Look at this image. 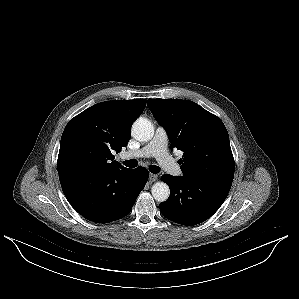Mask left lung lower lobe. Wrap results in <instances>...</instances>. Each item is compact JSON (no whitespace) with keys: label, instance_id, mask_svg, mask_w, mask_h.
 Returning <instances> with one entry per match:
<instances>
[{"label":"left lung lower lobe","instance_id":"left-lung-lower-lobe-1","mask_svg":"<svg viewBox=\"0 0 299 299\" xmlns=\"http://www.w3.org/2000/svg\"><path fill=\"white\" fill-rule=\"evenodd\" d=\"M161 180L170 197L160 204L161 213L181 225H196L210 218L223 204L232 185L230 179L210 176H170Z\"/></svg>","mask_w":299,"mask_h":299}]
</instances>
